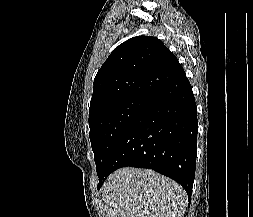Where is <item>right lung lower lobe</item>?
Listing matches in <instances>:
<instances>
[{
	"label": "right lung lower lobe",
	"instance_id": "obj_1",
	"mask_svg": "<svg viewBox=\"0 0 253 217\" xmlns=\"http://www.w3.org/2000/svg\"><path fill=\"white\" fill-rule=\"evenodd\" d=\"M197 108L183 72L151 98L122 133L107 160L98 189L120 167L153 169L183 186L189 200L197 156Z\"/></svg>",
	"mask_w": 253,
	"mask_h": 217
}]
</instances>
